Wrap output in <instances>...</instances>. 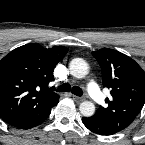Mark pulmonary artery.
Wrapping results in <instances>:
<instances>
[{"instance_id": "obj_1", "label": "pulmonary artery", "mask_w": 145, "mask_h": 145, "mask_svg": "<svg viewBox=\"0 0 145 145\" xmlns=\"http://www.w3.org/2000/svg\"><path fill=\"white\" fill-rule=\"evenodd\" d=\"M87 90L90 96L93 98L94 101L97 103H102L104 101V95L99 90L97 84L94 81H91L87 85Z\"/></svg>"}]
</instances>
